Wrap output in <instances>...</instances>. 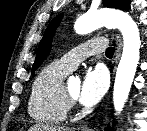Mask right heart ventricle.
Returning <instances> with one entry per match:
<instances>
[{
    "label": "right heart ventricle",
    "instance_id": "right-heart-ventricle-1",
    "mask_svg": "<svg viewBox=\"0 0 147 131\" xmlns=\"http://www.w3.org/2000/svg\"><path fill=\"white\" fill-rule=\"evenodd\" d=\"M70 72L58 61L44 66L36 75L28 100V113L37 122H63L69 107L63 95V80Z\"/></svg>",
    "mask_w": 147,
    "mask_h": 131
}]
</instances>
